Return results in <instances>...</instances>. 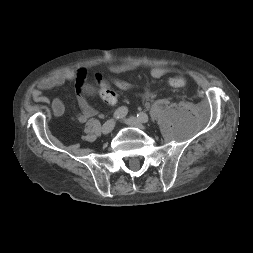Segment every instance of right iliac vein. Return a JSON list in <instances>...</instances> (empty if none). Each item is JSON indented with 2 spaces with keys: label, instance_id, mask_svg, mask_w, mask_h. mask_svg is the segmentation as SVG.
I'll return each mask as SVG.
<instances>
[{
  "label": "right iliac vein",
  "instance_id": "right-iliac-vein-1",
  "mask_svg": "<svg viewBox=\"0 0 253 253\" xmlns=\"http://www.w3.org/2000/svg\"><path fill=\"white\" fill-rule=\"evenodd\" d=\"M114 126H115V121L113 119L107 120L102 126V133L109 134L110 132H112Z\"/></svg>",
  "mask_w": 253,
  "mask_h": 253
}]
</instances>
